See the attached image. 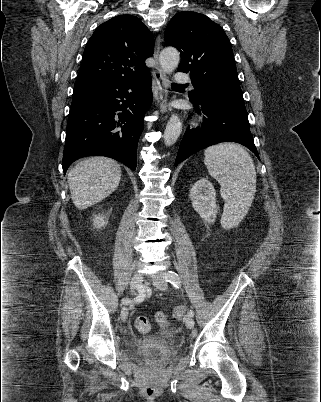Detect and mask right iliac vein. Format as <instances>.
Returning <instances> with one entry per match:
<instances>
[{
	"label": "right iliac vein",
	"mask_w": 321,
	"mask_h": 402,
	"mask_svg": "<svg viewBox=\"0 0 321 402\" xmlns=\"http://www.w3.org/2000/svg\"><path fill=\"white\" fill-rule=\"evenodd\" d=\"M142 281H143V274L141 272H136L131 280V289L133 292L139 289ZM120 316L123 321H126L128 317V308L126 306L122 307Z\"/></svg>",
	"instance_id": "63e3f726"
}]
</instances>
